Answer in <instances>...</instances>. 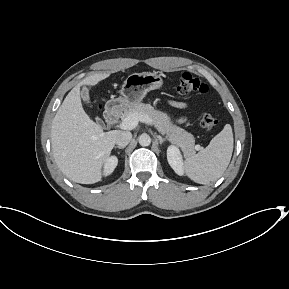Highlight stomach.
I'll list each match as a JSON object with an SVG mask.
<instances>
[{
  "label": "stomach",
  "mask_w": 289,
  "mask_h": 289,
  "mask_svg": "<svg viewBox=\"0 0 289 289\" xmlns=\"http://www.w3.org/2000/svg\"><path fill=\"white\" fill-rule=\"evenodd\" d=\"M163 85L162 77L156 72H142L130 74L124 81L120 90V96L108 102L112 110L130 108L140 103L146 94Z\"/></svg>",
  "instance_id": "1"
}]
</instances>
